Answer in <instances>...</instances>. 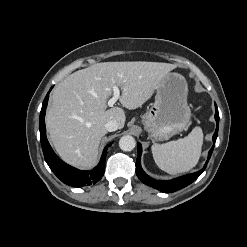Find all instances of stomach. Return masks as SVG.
Returning a JSON list of instances; mask_svg holds the SVG:
<instances>
[{"label": "stomach", "instance_id": "1", "mask_svg": "<svg viewBox=\"0 0 247 247\" xmlns=\"http://www.w3.org/2000/svg\"><path fill=\"white\" fill-rule=\"evenodd\" d=\"M185 78L169 72L156 87L155 102L142 116V123L153 141L168 140L188 128L191 110L187 103Z\"/></svg>", "mask_w": 247, "mask_h": 247}]
</instances>
